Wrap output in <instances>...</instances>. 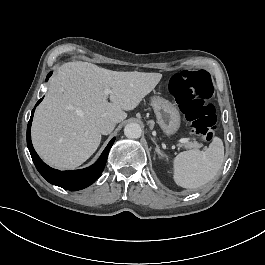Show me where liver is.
Returning a JSON list of instances; mask_svg holds the SVG:
<instances>
[{
	"label": "liver",
	"instance_id": "obj_1",
	"mask_svg": "<svg viewBox=\"0 0 265 265\" xmlns=\"http://www.w3.org/2000/svg\"><path fill=\"white\" fill-rule=\"evenodd\" d=\"M161 79L160 73L116 72L82 61L61 65L34 116L35 149L53 167H78L100 145L96 121L125 120L124 111L137 108Z\"/></svg>",
	"mask_w": 265,
	"mask_h": 265
}]
</instances>
